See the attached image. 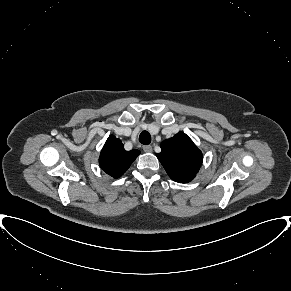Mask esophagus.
Listing matches in <instances>:
<instances>
[{
	"label": "esophagus",
	"mask_w": 291,
	"mask_h": 291,
	"mask_svg": "<svg viewBox=\"0 0 291 291\" xmlns=\"http://www.w3.org/2000/svg\"><path fill=\"white\" fill-rule=\"evenodd\" d=\"M143 150L146 153H150V152H152V146L151 145H144Z\"/></svg>",
	"instance_id": "obj_1"
}]
</instances>
